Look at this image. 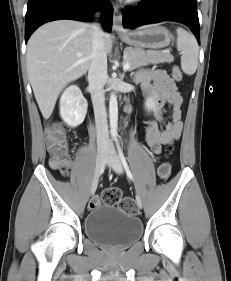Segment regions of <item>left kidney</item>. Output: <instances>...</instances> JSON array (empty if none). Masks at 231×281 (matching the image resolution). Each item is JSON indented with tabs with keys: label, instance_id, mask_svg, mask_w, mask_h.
<instances>
[{
	"label": "left kidney",
	"instance_id": "left-kidney-1",
	"mask_svg": "<svg viewBox=\"0 0 231 281\" xmlns=\"http://www.w3.org/2000/svg\"><path fill=\"white\" fill-rule=\"evenodd\" d=\"M145 109L147 111H153L155 112L157 110V101L154 97H149L145 101Z\"/></svg>",
	"mask_w": 231,
	"mask_h": 281
}]
</instances>
